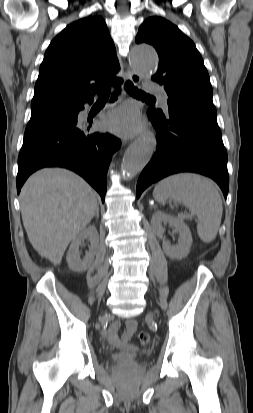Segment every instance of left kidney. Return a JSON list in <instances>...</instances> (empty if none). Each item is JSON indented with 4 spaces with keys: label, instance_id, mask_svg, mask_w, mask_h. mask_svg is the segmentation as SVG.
Instances as JSON below:
<instances>
[{
    "label": "left kidney",
    "instance_id": "5707ae66",
    "mask_svg": "<svg viewBox=\"0 0 253 413\" xmlns=\"http://www.w3.org/2000/svg\"><path fill=\"white\" fill-rule=\"evenodd\" d=\"M162 224H169L173 226L176 232L179 233L178 245H171L169 242L163 240V251L171 259H183L190 251L192 245V236L188 226L181 218L169 216L161 211L153 214L151 225L158 237H162L164 227Z\"/></svg>",
    "mask_w": 253,
    "mask_h": 413
}]
</instances>
